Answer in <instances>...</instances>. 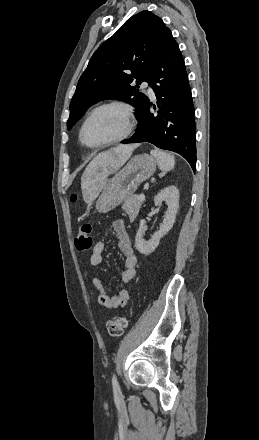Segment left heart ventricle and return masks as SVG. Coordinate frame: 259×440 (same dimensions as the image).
Masks as SVG:
<instances>
[{
    "label": "left heart ventricle",
    "instance_id": "b2bd125f",
    "mask_svg": "<svg viewBox=\"0 0 259 440\" xmlns=\"http://www.w3.org/2000/svg\"><path fill=\"white\" fill-rule=\"evenodd\" d=\"M125 130L124 114L120 108L109 107L96 112L83 130V140L96 145L120 136Z\"/></svg>",
    "mask_w": 259,
    "mask_h": 440
}]
</instances>
